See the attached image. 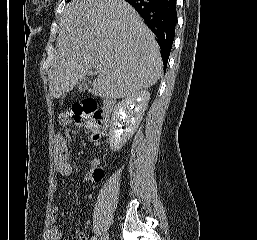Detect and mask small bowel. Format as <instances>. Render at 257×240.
<instances>
[{"mask_svg":"<svg viewBox=\"0 0 257 240\" xmlns=\"http://www.w3.org/2000/svg\"><path fill=\"white\" fill-rule=\"evenodd\" d=\"M100 167V162L97 159L90 161L89 171L86 175V181H100L103 177L96 174V169ZM54 171L60 176H69L72 172V166L69 161V148L66 138L58 134L54 137ZM59 207L53 205L51 208V228L49 232L50 240H62V233L57 225ZM77 240H87L86 236L80 232Z\"/></svg>","mask_w":257,"mask_h":240,"instance_id":"obj_1","label":"small bowel"}]
</instances>
